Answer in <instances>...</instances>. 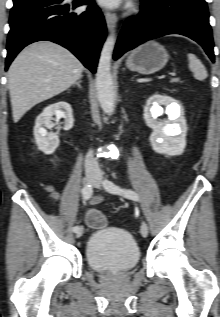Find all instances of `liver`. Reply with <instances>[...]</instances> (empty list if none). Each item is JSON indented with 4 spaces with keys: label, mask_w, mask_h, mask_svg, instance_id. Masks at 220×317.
Instances as JSON below:
<instances>
[{
    "label": "liver",
    "mask_w": 220,
    "mask_h": 317,
    "mask_svg": "<svg viewBox=\"0 0 220 317\" xmlns=\"http://www.w3.org/2000/svg\"><path fill=\"white\" fill-rule=\"evenodd\" d=\"M83 70L82 63L56 43L40 41L23 49L8 70L14 122L36 104L67 90Z\"/></svg>",
    "instance_id": "obj_1"
}]
</instances>
